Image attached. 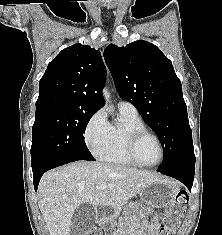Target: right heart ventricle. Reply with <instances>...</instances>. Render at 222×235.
<instances>
[{
	"instance_id": "e07e8e85",
	"label": "right heart ventricle",
	"mask_w": 222,
	"mask_h": 235,
	"mask_svg": "<svg viewBox=\"0 0 222 235\" xmlns=\"http://www.w3.org/2000/svg\"><path fill=\"white\" fill-rule=\"evenodd\" d=\"M145 128V124L137 112L119 110L117 121L109 124L107 141L98 157L109 163L134 165L126 154L127 138L133 130Z\"/></svg>"
}]
</instances>
